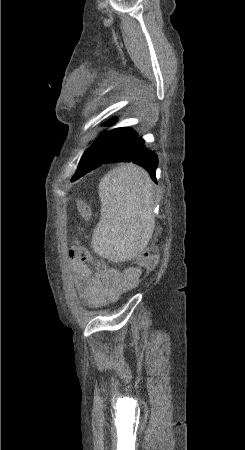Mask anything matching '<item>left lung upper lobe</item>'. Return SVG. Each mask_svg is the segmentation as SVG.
<instances>
[{"label":"left lung upper lobe","instance_id":"left-lung-upper-lobe-1","mask_svg":"<svg viewBox=\"0 0 245 450\" xmlns=\"http://www.w3.org/2000/svg\"><path fill=\"white\" fill-rule=\"evenodd\" d=\"M137 135L138 134L136 132H134L132 129L129 128L112 129L110 131L102 133L101 136L95 140V142L91 147L93 148L99 146V148L101 147L103 148L109 147L111 149L112 148L114 149L116 147L119 148L127 144L132 139L136 138ZM85 154L86 153H84L83 156L81 157L75 175L84 172L87 169L92 168L93 166L98 164L102 156V155L95 156L94 154L91 158L87 159Z\"/></svg>","mask_w":245,"mask_h":450}]
</instances>
